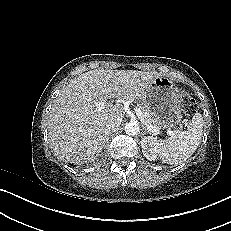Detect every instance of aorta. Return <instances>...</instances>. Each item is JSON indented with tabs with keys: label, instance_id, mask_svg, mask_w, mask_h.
Segmentation results:
<instances>
[{
	"label": "aorta",
	"instance_id": "obj_1",
	"mask_svg": "<svg viewBox=\"0 0 231 231\" xmlns=\"http://www.w3.org/2000/svg\"><path fill=\"white\" fill-rule=\"evenodd\" d=\"M124 129L129 136H135L139 132V126L136 122H128Z\"/></svg>",
	"mask_w": 231,
	"mask_h": 231
}]
</instances>
